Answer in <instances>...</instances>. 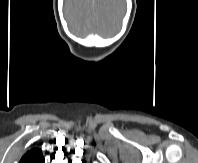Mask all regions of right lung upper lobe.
Wrapping results in <instances>:
<instances>
[{"instance_id": "1", "label": "right lung upper lobe", "mask_w": 198, "mask_h": 163, "mask_svg": "<svg viewBox=\"0 0 198 163\" xmlns=\"http://www.w3.org/2000/svg\"><path fill=\"white\" fill-rule=\"evenodd\" d=\"M19 163H44V157L40 149L33 148L24 154Z\"/></svg>"}]
</instances>
